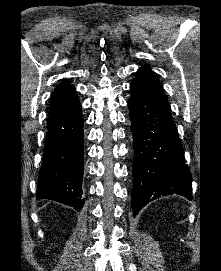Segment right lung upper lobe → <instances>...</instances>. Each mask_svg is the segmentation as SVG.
<instances>
[{"label": "right lung upper lobe", "instance_id": "1", "mask_svg": "<svg viewBox=\"0 0 221 271\" xmlns=\"http://www.w3.org/2000/svg\"><path fill=\"white\" fill-rule=\"evenodd\" d=\"M77 101L78 97L74 87L68 82H63L52 93L49 113L63 110Z\"/></svg>", "mask_w": 221, "mask_h": 271}]
</instances>
